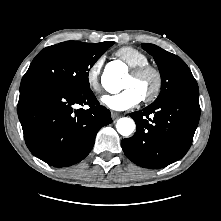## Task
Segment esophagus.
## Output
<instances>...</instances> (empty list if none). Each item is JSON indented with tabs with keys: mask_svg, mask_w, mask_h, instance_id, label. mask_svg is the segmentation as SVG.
I'll return each instance as SVG.
<instances>
[{
	"mask_svg": "<svg viewBox=\"0 0 221 221\" xmlns=\"http://www.w3.org/2000/svg\"><path fill=\"white\" fill-rule=\"evenodd\" d=\"M120 116H121V114L118 113V112H115V111L111 112V117H112L113 120L118 119Z\"/></svg>",
	"mask_w": 221,
	"mask_h": 221,
	"instance_id": "obj_1",
	"label": "esophagus"
}]
</instances>
